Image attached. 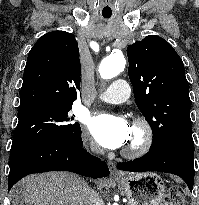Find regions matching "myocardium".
<instances>
[{
  "label": "myocardium",
  "mask_w": 199,
  "mask_h": 205,
  "mask_svg": "<svg viewBox=\"0 0 199 205\" xmlns=\"http://www.w3.org/2000/svg\"><path fill=\"white\" fill-rule=\"evenodd\" d=\"M138 131V140L131 146H126L122 153L128 158H137L150 151L154 143V130L148 120L143 117H136L132 123Z\"/></svg>",
  "instance_id": "myocardium-1"
}]
</instances>
